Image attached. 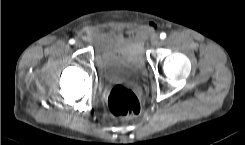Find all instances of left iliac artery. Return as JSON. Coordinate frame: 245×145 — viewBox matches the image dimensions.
Returning a JSON list of instances; mask_svg holds the SVG:
<instances>
[{
	"instance_id": "44dca946",
	"label": "left iliac artery",
	"mask_w": 245,
	"mask_h": 145,
	"mask_svg": "<svg viewBox=\"0 0 245 145\" xmlns=\"http://www.w3.org/2000/svg\"><path fill=\"white\" fill-rule=\"evenodd\" d=\"M160 38H161V39H165V38H166V34H165L164 32H162V33L160 34Z\"/></svg>"
}]
</instances>
